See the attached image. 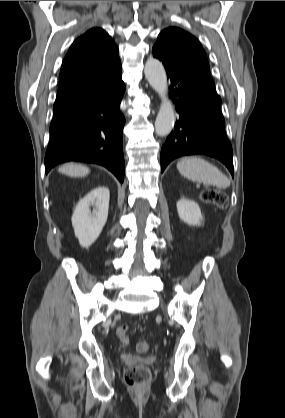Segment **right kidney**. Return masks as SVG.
I'll return each mask as SVG.
<instances>
[{"label": "right kidney", "instance_id": "1", "mask_svg": "<svg viewBox=\"0 0 285 418\" xmlns=\"http://www.w3.org/2000/svg\"><path fill=\"white\" fill-rule=\"evenodd\" d=\"M109 198V189L100 186L78 202L72 215V226L82 247L91 246L102 232L108 218Z\"/></svg>", "mask_w": 285, "mask_h": 418}]
</instances>
